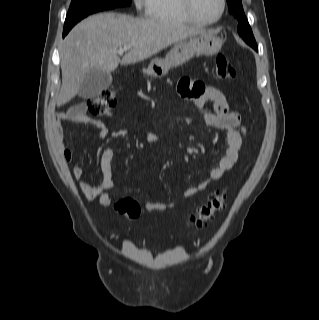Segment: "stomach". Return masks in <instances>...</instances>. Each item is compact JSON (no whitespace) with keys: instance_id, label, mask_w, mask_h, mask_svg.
Wrapping results in <instances>:
<instances>
[{"instance_id":"0dacf381","label":"stomach","mask_w":319,"mask_h":320,"mask_svg":"<svg viewBox=\"0 0 319 320\" xmlns=\"http://www.w3.org/2000/svg\"><path fill=\"white\" fill-rule=\"evenodd\" d=\"M222 45L223 40L213 32L199 33L175 43L164 59H153L146 72L152 78H162L171 68L186 63L194 56L217 54Z\"/></svg>"}]
</instances>
